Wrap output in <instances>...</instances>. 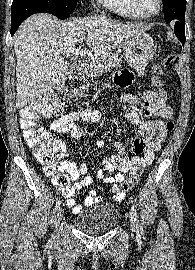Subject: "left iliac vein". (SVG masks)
Instances as JSON below:
<instances>
[{
	"label": "left iliac vein",
	"instance_id": "left-iliac-vein-1",
	"mask_svg": "<svg viewBox=\"0 0 195 270\" xmlns=\"http://www.w3.org/2000/svg\"><path fill=\"white\" fill-rule=\"evenodd\" d=\"M130 226H131V231H135L136 230V222L134 221V218L132 216V214L130 215Z\"/></svg>",
	"mask_w": 195,
	"mask_h": 270
}]
</instances>
